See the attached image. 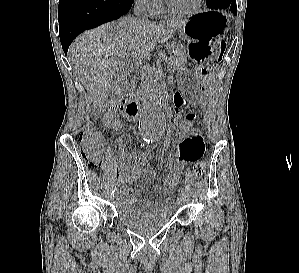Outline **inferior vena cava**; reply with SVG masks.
Wrapping results in <instances>:
<instances>
[{
    "label": "inferior vena cava",
    "instance_id": "obj_1",
    "mask_svg": "<svg viewBox=\"0 0 299 273\" xmlns=\"http://www.w3.org/2000/svg\"><path fill=\"white\" fill-rule=\"evenodd\" d=\"M142 12H143V5L141 3H136L135 7H134V14L137 16V18L139 20H142V21H148V19L146 17H143L142 15Z\"/></svg>",
    "mask_w": 299,
    "mask_h": 273
}]
</instances>
